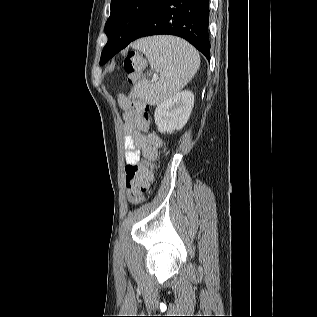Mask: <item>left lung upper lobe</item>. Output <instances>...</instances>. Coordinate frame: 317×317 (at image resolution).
Wrapping results in <instances>:
<instances>
[{
    "label": "left lung upper lobe",
    "mask_w": 317,
    "mask_h": 317,
    "mask_svg": "<svg viewBox=\"0 0 317 317\" xmlns=\"http://www.w3.org/2000/svg\"><path fill=\"white\" fill-rule=\"evenodd\" d=\"M163 0H112L111 14L105 25L108 41L116 44L130 42ZM106 50L103 49L100 65L105 64Z\"/></svg>",
    "instance_id": "1"
}]
</instances>
